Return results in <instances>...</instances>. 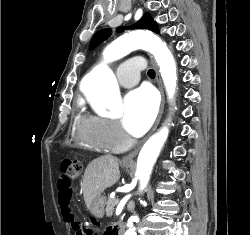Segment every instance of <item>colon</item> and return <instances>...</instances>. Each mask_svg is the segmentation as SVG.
I'll use <instances>...</instances> for the list:
<instances>
[{"label": "colon", "instance_id": "5ec220e1", "mask_svg": "<svg viewBox=\"0 0 250 235\" xmlns=\"http://www.w3.org/2000/svg\"><path fill=\"white\" fill-rule=\"evenodd\" d=\"M82 165L78 160L65 159L60 164V177L58 179V187L66 191H71L72 182L80 175ZM66 222L73 225L77 230V235H93L89 230L75 222L73 216L68 214L65 217Z\"/></svg>", "mask_w": 250, "mask_h": 235}]
</instances>
